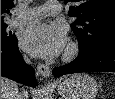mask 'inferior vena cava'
Returning <instances> with one entry per match:
<instances>
[{
    "mask_svg": "<svg viewBox=\"0 0 115 99\" xmlns=\"http://www.w3.org/2000/svg\"><path fill=\"white\" fill-rule=\"evenodd\" d=\"M25 60H26L27 62H29V60H28L27 58H25ZM19 99H22V94L20 95Z\"/></svg>",
    "mask_w": 115,
    "mask_h": 99,
    "instance_id": "inferior-vena-cava-1",
    "label": "inferior vena cava"
}]
</instances>
